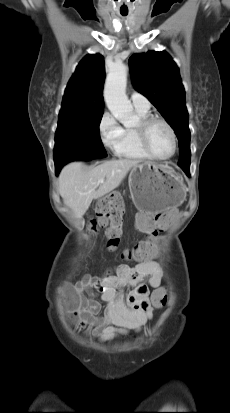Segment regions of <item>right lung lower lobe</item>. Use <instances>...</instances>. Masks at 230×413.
<instances>
[{
	"label": "right lung lower lobe",
	"mask_w": 230,
	"mask_h": 413,
	"mask_svg": "<svg viewBox=\"0 0 230 413\" xmlns=\"http://www.w3.org/2000/svg\"><path fill=\"white\" fill-rule=\"evenodd\" d=\"M56 166V175H58L59 171L63 166L55 165Z\"/></svg>",
	"instance_id": "obj_1"
}]
</instances>
